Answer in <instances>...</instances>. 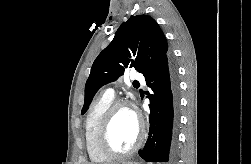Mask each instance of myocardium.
<instances>
[{"label":"myocardium","instance_id":"1","mask_svg":"<svg viewBox=\"0 0 251 164\" xmlns=\"http://www.w3.org/2000/svg\"><path fill=\"white\" fill-rule=\"evenodd\" d=\"M120 108H129L133 111L138 122V137L135 144L126 151L115 150L109 141L110 129L116 112ZM145 136V128L142 119L135 113L132 105L125 100L113 101L105 111L97 133V145L99 150L108 158H124L134 154L141 147Z\"/></svg>","mask_w":251,"mask_h":164}]
</instances>
